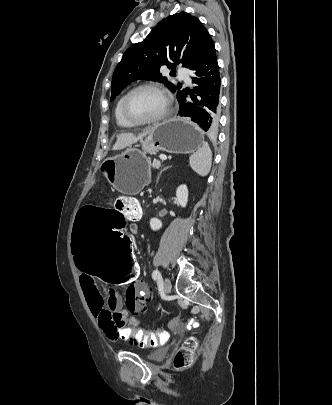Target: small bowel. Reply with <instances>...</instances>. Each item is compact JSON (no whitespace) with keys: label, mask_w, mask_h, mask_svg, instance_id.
Returning <instances> with one entry per match:
<instances>
[{"label":"small bowel","mask_w":332,"mask_h":405,"mask_svg":"<svg viewBox=\"0 0 332 405\" xmlns=\"http://www.w3.org/2000/svg\"><path fill=\"white\" fill-rule=\"evenodd\" d=\"M137 215H141V212L137 211L128 216L129 221H131L129 229L132 234H137L138 231L135 223L138 221L135 219ZM75 264L80 273V283L89 309L108 339H121L118 337V330L130 329L129 326L132 323L140 327L139 320H128L127 318L129 312L146 311V306L149 305V298L143 297V291L146 290L143 284L138 282V278L137 281L131 282L130 287H127L126 297L123 300L114 287L108 285L106 294H102L97 284L96 275H82V268H78V262ZM136 266H138L137 263Z\"/></svg>","instance_id":"obj_1"}]
</instances>
